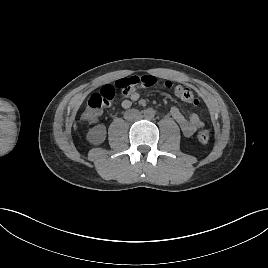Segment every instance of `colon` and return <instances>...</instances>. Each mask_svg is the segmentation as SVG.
I'll return each mask as SVG.
<instances>
[{"label": "colon", "instance_id": "obj_1", "mask_svg": "<svg viewBox=\"0 0 268 268\" xmlns=\"http://www.w3.org/2000/svg\"><path fill=\"white\" fill-rule=\"evenodd\" d=\"M157 78L152 75L130 76L117 80L114 85H104L98 92L92 94L81 113V119L88 123H93L99 120L103 110L108 107L116 95V90H120L123 94L129 93L140 88H151L157 84ZM165 87L172 90L174 94L181 100L198 105L199 101L194 96L192 90L181 85H174L171 81L164 83ZM198 141L206 144L210 139L208 130H202L198 133Z\"/></svg>", "mask_w": 268, "mask_h": 268}]
</instances>
